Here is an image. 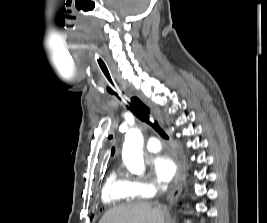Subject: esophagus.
Returning <instances> with one entry per match:
<instances>
[{
    "mask_svg": "<svg viewBox=\"0 0 267 223\" xmlns=\"http://www.w3.org/2000/svg\"><path fill=\"white\" fill-rule=\"evenodd\" d=\"M140 97V96H139ZM155 116H156V118L160 121V119H159V117H158V115L157 114H155ZM161 122V121H160ZM177 178L175 179V183L177 182ZM173 189H174V185H172V187H171V190H170V192H169V194H168V197L173 193Z\"/></svg>",
    "mask_w": 267,
    "mask_h": 223,
    "instance_id": "34e87169",
    "label": "esophagus"
}]
</instances>
